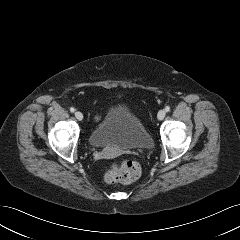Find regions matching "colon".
<instances>
[{
  "instance_id": "1",
  "label": "colon",
  "mask_w": 240,
  "mask_h": 240,
  "mask_svg": "<svg viewBox=\"0 0 240 240\" xmlns=\"http://www.w3.org/2000/svg\"><path fill=\"white\" fill-rule=\"evenodd\" d=\"M141 174L139 164L134 160H124L119 163H113L105 173V180L108 183H132L136 181Z\"/></svg>"
}]
</instances>
